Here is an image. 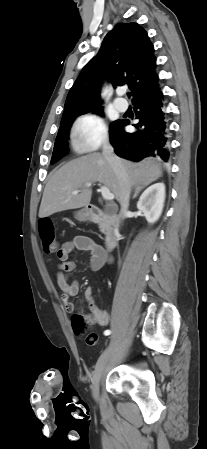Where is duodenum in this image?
<instances>
[{
    "label": "duodenum",
    "mask_w": 207,
    "mask_h": 449,
    "mask_svg": "<svg viewBox=\"0 0 207 449\" xmlns=\"http://www.w3.org/2000/svg\"><path fill=\"white\" fill-rule=\"evenodd\" d=\"M86 217L92 223L103 224L105 226V247L108 250L113 249L120 238L119 217L115 213H105L95 205L87 207Z\"/></svg>",
    "instance_id": "duodenum-1"
}]
</instances>
